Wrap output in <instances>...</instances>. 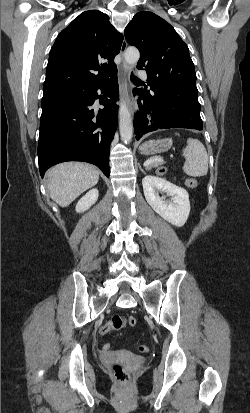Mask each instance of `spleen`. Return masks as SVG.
<instances>
[{"label": "spleen", "mask_w": 250, "mask_h": 413, "mask_svg": "<svg viewBox=\"0 0 250 413\" xmlns=\"http://www.w3.org/2000/svg\"><path fill=\"white\" fill-rule=\"evenodd\" d=\"M176 135H179L176 133ZM183 156L186 161L183 165V171L188 176L200 177L208 172V155L205 146L193 138L187 139V146L183 149Z\"/></svg>", "instance_id": "obj_1"}]
</instances>
